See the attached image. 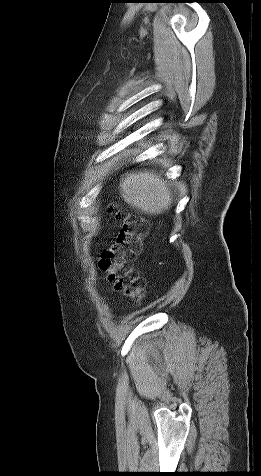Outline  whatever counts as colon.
<instances>
[{"label":"colon","mask_w":261,"mask_h":476,"mask_svg":"<svg viewBox=\"0 0 261 476\" xmlns=\"http://www.w3.org/2000/svg\"><path fill=\"white\" fill-rule=\"evenodd\" d=\"M120 229L110 245L101 253L100 269L107 274L115 291L134 303L145 295L143 279L133 263L141 251L142 238L148 232L145 219L123 210H114Z\"/></svg>","instance_id":"1"}]
</instances>
